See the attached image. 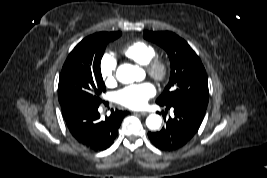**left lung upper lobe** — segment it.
I'll return each instance as SVG.
<instances>
[{
  "label": "left lung upper lobe",
  "mask_w": 267,
  "mask_h": 178,
  "mask_svg": "<svg viewBox=\"0 0 267 178\" xmlns=\"http://www.w3.org/2000/svg\"><path fill=\"white\" fill-rule=\"evenodd\" d=\"M144 38L166 50L171 63L168 85L157 104H179L205 114L209 90L206 71L188 43L169 31L145 32Z\"/></svg>",
  "instance_id": "left-lung-upper-lobe-1"
}]
</instances>
